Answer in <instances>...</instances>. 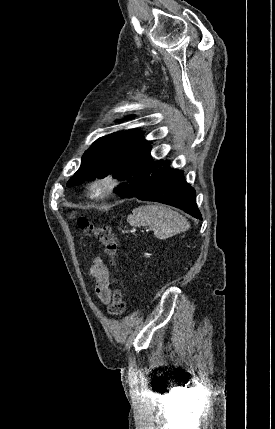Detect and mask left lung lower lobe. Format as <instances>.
<instances>
[{
	"label": "left lung lower lobe",
	"mask_w": 275,
	"mask_h": 429,
	"mask_svg": "<svg viewBox=\"0 0 275 429\" xmlns=\"http://www.w3.org/2000/svg\"><path fill=\"white\" fill-rule=\"evenodd\" d=\"M168 160L153 161L133 182L121 198L156 201L180 208L201 219L196 205L195 190L184 180L183 171L169 168Z\"/></svg>",
	"instance_id": "obj_1"
}]
</instances>
